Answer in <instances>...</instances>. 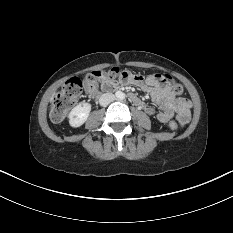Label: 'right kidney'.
<instances>
[{
  "mask_svg": "<svg viewBox=\"0 0 233 233\" xmlns=\"http://www.w3.org/2000/svg\"><path fill=\"white\" fill-rule=\"evenodd\" d=\"M91 111V105L89 103H79L69 113V124L72 127H80L83 125Z\"/></svg>",
  "mask_w": 233,
  "mask_h": 233,
  "instance_id": "ca27d5eb",
  "label": "right kidney"
}]
</instances>
